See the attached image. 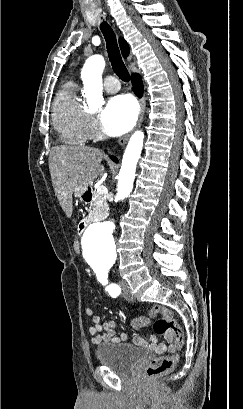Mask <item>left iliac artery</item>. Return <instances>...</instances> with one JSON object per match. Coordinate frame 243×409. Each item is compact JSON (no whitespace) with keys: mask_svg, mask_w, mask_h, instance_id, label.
Masks as SVG:
<instances>
[{"mask_svg":"<svg viewBox=\"0 0 243 409\" xmlns=\"http://www.w3.org/2000/svg\"><path fill=\"white\" fill-rule=\"evenodd\" d=\"M96 275H97L98 281L100 283H102L103 285L108 284L107 271H104V270L103 271H97ZM106 291H108L111 296L116 297V296H118L120 294L121 289L117 284L111 283L110 285H108L106 287Z\"/></svg>","mask_w":243,"mask_h":409,"instance_id":"left-iliac-artery-1","label":"left iliac artery"}]
</instances>
